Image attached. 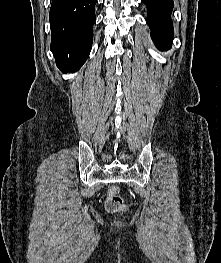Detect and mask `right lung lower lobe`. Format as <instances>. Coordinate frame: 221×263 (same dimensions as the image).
Returning <instances> with one entry per match:
<instances>
[{
	"instance_id": "1",
	"label": "right lung lower lobe",
	"mask_w": 221,
	"mask_h": 263,
	"mask_svg": "<svg viewBox=\"0 0 221 263\" xmlns=\"http://www.w3.org/2000/svg\"><path fill=\"white\" fill-rule=\"evenodd\" d=\"M97 0H52L51 51L62 71L80 68L92 48Z\"/></svg>"
}]
</instances>
